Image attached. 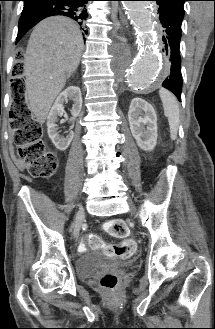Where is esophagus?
Returning <instances> with one entry per match:
<instances>
[{
  "instance_id": "esophagus-1",
  "label": "esophagus",
  "mask_w": 215,
  "mask_h": 329,
  "mask_svg": "<svg viewBox=\"0 0 215 329\" xmlns=\"http://www.w3.org/2000/svg\"><path fill=\"white\" fill-rule=\"evenodd\" d=\"M122 24L127 27V22L125 19H122Z\"/></svg>"
}]
</instances>
